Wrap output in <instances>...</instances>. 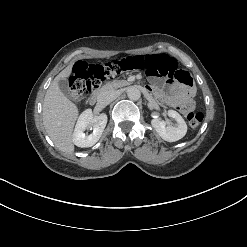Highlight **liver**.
I'll use <instances>...</instances> for the list:
<instances>
[{
    "label": "liver",
    "instance_id": "obj_1",
    "mask_svg": "<svg viewBox=\"0 0 247 247\" xmlns=\"http://www.w3.org/2000/svg\"><path fill=\"white\" fill-rule=\"evenodd\" d=\"M73 64L66 67L52 81L46 91L43 102V124L48 136L55 146L62 152L72 154L74 152L73 128L79 111L59 89L58 81L71 74Z\"/></svg>",
    "mask_w": 247,
    "mask_h": 247
}]
</instances>
